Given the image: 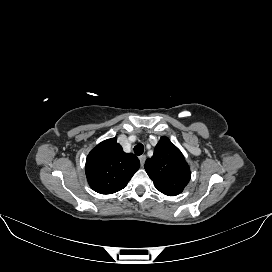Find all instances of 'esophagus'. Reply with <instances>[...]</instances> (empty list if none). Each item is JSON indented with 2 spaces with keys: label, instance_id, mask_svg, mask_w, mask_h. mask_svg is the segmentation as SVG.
<instances>
[{
  "label": "esophagus",
  "instance_id": "1",
  "mask_svg": "<svg viewBox=\"0 0 272 272\" xmlns=\"http://www.w3.org/2000/svg\"><path fill=\"white\" fill-rule=\"evenodd\" d=\"M139 160H140L141 166L143 167L144 164H145L146 156H145V155L140 156V157H139Z\"/></svg>",
  "mask_w": 272,
  "mask_h": 272
}]
</instances>
